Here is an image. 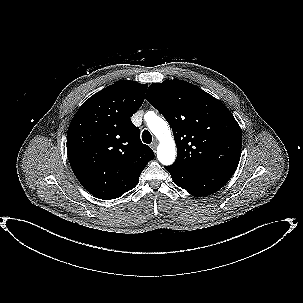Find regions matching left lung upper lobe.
Masks as SVG:
<instances>
[{
	"mask_svg": "<svg viewBox=\"0 0 303 303\" xmlns=\"http://www.w3.org/2000/svg\"><path fill=\"white\" fill-rule=\"evenodd\" d=\"M146 99L173 130L177 159L172 167L193 172L237 169L242 131L218 99L178 79L153 83Z\"/></svg>",
	"mask_w": 303,
	"mask_h": 303,
	"instance_id": "5c2ea615",
	"label": "left lung upper lobe"
}]
</instances>
